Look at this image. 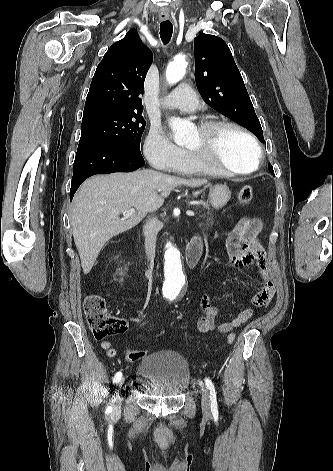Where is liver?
<instances>
[{
  "instance_id": "obj_1",
  "label": "liver",
  "mask_w": 333,
  "mask_h": 471,
  "mask_svg": "<svg viewBox=\"0 0 333 471\" xmlns=\"http://www.w3.org/2000/svg\"><path fill=\"white\" fill-rule=\"evenodd\" d=\"M206 183L204 179H183L151 169L87 179L73 199L71 214L83 272L91 271L108 240L138 225L148 212L159 209L175 187ZM131 208L136 209L133 215L120 218L123 211Z\"/></svg>"
}]
</instances>
